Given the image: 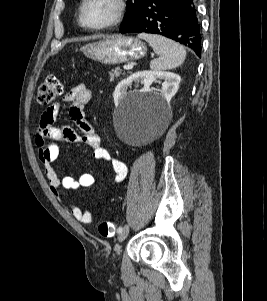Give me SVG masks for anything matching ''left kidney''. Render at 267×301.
Here are the masks:
<instances>
[{"label": "left kidney", "instance_id": "left-kidney-1", "mask_svg": "<svg viewBox=\"0 0 267 301\" xmlns=\"http://www.w3.org/2000/svg\"><path fill=\"white\" fill-rule=\"evenodd\" d=\"M157 79L163 80L160 95L167 103H169L178 91L181 78L175 73L164 71H140L130 75L127 79L122 80L118 83L113 92L114 103L116 105L119 104L126 95V90L132 82H141L144 84V88L141 92H146L150 90V85Z\"/></svg>", "mask_w": 267, "mask_h": 301}]
</instances>
